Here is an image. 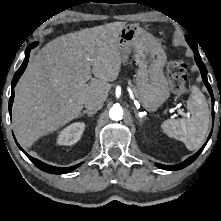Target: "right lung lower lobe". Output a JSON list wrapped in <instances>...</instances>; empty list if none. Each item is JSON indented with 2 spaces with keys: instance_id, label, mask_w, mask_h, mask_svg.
<instances>
[{
  "instance_id": "right-lung-lower-lobe-1",
  "label": "right lung lower lobe",
  "mask_w": 221,
  "mask_h": 221,
  "mask_svg": "<svg viewBox=\"0 0 221 221\" xmlns=\"http://www.w3.org/2000/svg\"><path fill=\"white\" fill-rule=\"evenodd\" d=\"M37 45V42H34L32 44H30L26 51H25V59L22 63V65L20 66V68L16 71L14 78L12 80V91H11V97L9 100V113L11 116V108H12V103L14 100V87L17 83V81L19 80L20 76L23 74L27 64H28V59H29V54H30V50L31 48H34ZM15 139V137H14ZM15 142L17 144V146L20 148L21 151L24 152V154L35 164V166H37L39 169H41L42 171L48 172V173H52V174H64V173H68L71 172L73 170H75L76 168H78L82 163L71 166V167H67V168H60V167H54L48 164H45L43 162H41L40 160L31 157L30 155H28L21 147L20 145L17 143L16 139Z\"/></svg>"
}]
</instances>
